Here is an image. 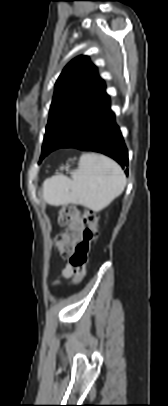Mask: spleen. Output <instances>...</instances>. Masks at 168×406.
I'll list each match as a JSON object with an SVG mask.
<instances>
[{"instance_id":"spleen-1","label":"spleen","mask_w":168,"mask_h":406,"mask_svg":"<svg viewBox=\"0 0 168 406\" xmlns=\"http://www.w3.org/2000/svg\"><path fill=\"white\" fill-rule=\"evenodd\" d=\"M126 186V176L114 160L96 153L84 154L68 178L57 174L43 183V198L51 205L80 204L94 212L106 208Z\"/></svg>"}]
</instances>
